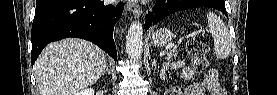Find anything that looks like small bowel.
Wrapping results in <instances>:
<instances>
[{"label":"small bowel","instance_id":"small-bowel-1","mask_svg":"<svg viewBox=\"0 0 277 95\" xmlns=\"http://www.w3.org/2000/svg\"><path fill=\"white\" fill-rule=\"evenodd\" d=\"M195 76V73L191 66L184 65L180 71V78L182 80H191ZM208 91L210 95H224L225 92L219 85L208 82L205 77L204 82L198 84H188L183 89L179 87L169 88L166 95H204L205 91Z\"/></svg>","mask_w":277,"mask_h":95}]
</instances>
